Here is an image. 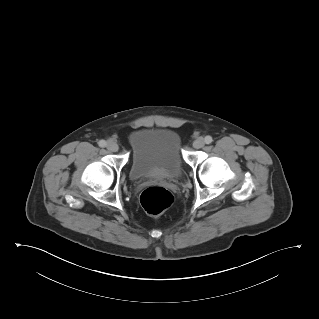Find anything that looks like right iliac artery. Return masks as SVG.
Segmentation results:
<instances>
[{
	"label": "right iliac artery",
	"mask_w": 319,
	"mask_h": 319,
	"mask_svg": "<svg viewBox=\"0 0 319 319\" xmlns=\"http://www.w3.org/2000/svg\"><path fill=\"white\" fill-rule=\"evenodd\" d=\"M98 144L100 147H105L107 145L105 140H100Z\"/></svg>",
	"instance_id": "right-iliac-artery-1"
}]
</instances>
